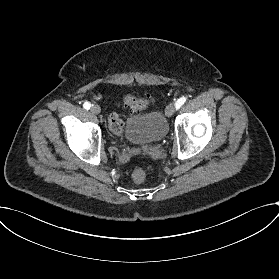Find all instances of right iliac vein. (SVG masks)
<instances>
[{
	"label": "right iliac vein",
	"mask_w": 279,
	"mask_h": 279,
	"mask_svg": "<svg viewBox=\"0 0 279 279\" xmlns=\"http://www.w3.org/2000/svg\"><path fill=\"white\" fill-rule=\"evenodd\" d=\"M92 114H99L101 112V108L98 105H93L90 109Z\"/></svg>",
	"instance_id": "obj_1"
}]
</instances>
